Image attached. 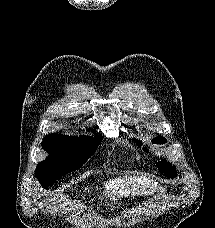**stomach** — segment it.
<instances>
[{
  "label": "stomach",
  "instance_id": "1",
  "mask_svg": "<svg viewBox=\"0 0 215 228\" xmlns=\"http://www.w3.org/2000/svg\"><path fill=\"white\" fill-rule=\"evenodd\" d=\"M157 190L160 192V194H164V192H166L164 186H158Z\"/></svg>",
  "mask_w": 215,
  "mask_h": 228
}]
</instances>
